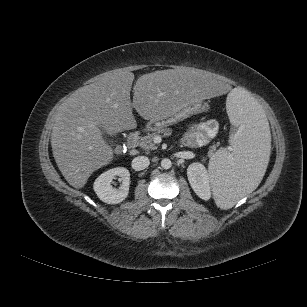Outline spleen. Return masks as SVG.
Segmentation results:
<instances>
[{
  "instance_id": "obj_1",
  "label": "spleen",
  "mask_w": 307,
  "mask_h": 307,
  "mask_svg": "<svg viewBox=\"0 0 307 307\" xmlns=\"http://www.w3.org/2000/svg\"><path fill=\"white\" fill-rule=\"evenodd\" d=\"M226 109L231 123L238 127L231 139L233 151H219L208 167L215 203L223 210L232 208L256 188L273 139L262 107L247 92L232 90Z\"/></svg>"
}]
</instances>
